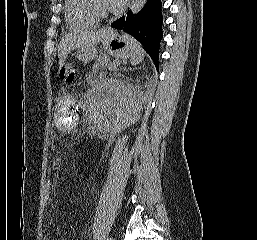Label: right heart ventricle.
Segmentation results:
<instances>
[{"label":"right heart ventricle","mask_w":257,"mask_h":240,"mask_svg":"<svg viewBox=\"0 0 257 240\" xmlns=\"http://www.w3.org/2000/svg\"><path fill=\"white\" fill-rule=\"evenodd\" d=\"M65 18L69 29L84 30L97 26L98 21L85 10L83 0H65Z\"/></svg>","instance_id":"obj_1"}]
</instances>
